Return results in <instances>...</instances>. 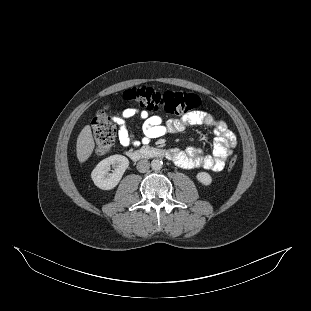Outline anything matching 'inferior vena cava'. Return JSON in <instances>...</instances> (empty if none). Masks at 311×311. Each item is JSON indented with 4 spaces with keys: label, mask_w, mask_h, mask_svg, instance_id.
<instances>
[{
    "label": "inferior vena cava",
    "mask_w": 311,
    "mask_h": 311,
    "mask_svg": "<svg viewBox=\"0 0 311 311\" xmlns=\"http://www.w3.org/2000/svg\"><path fill=\"white\" fill-rule=\"evenodd\" d=\"M150 168V162L146 159H141L137 163V170L141 173H145Z\"/></svg>",
    "instance_id": "inferior-vena-cava-1"
}]
</instances>
